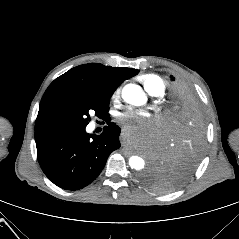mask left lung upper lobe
I'll list each match as a JSON object with an SVG mask.
<instances>
[{
    "label": "left lung upper lobe",
    "instance_id": "1",
    "mask_svg": "<svg viewBox=\"0 0 239 239\" xmlns=\"http://www.w3.org/2000/svg\"><path fill=\"white\" fill-rule=\"evenodd\" d=\"M173 82L170 97V107L167 113L168 128L173 136L169 144L161 153L160 162L157 166H151L141 181L156 192H170L183 184L193 173L199 162L204 146V126L199 133L192 131L191 125L183 121V112L189 106L201 103L196 91L185 81L170 76ZM192 134L199 137L200 147L193 155H185L183 148L193 140ZM190 156V157H189Z\"/></svg>",
    "mask_w": 239,
    "mask_h": 239
}]
</instances>
